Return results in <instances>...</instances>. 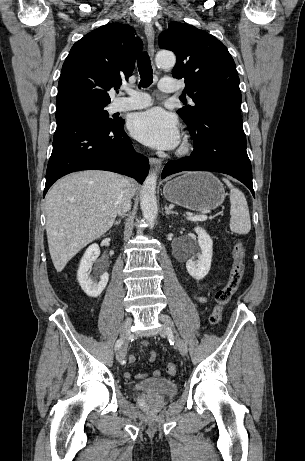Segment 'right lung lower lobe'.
I'll return each instance as SVG.
<instances>
[{
  "mask_svg": "<svg viewBox=\"0 0 305 461\" xmlns=\"http://www.w3.org/2000/svg\"><path fill=\"white\" fill-rule=\"evenodd\" d=\"M53 150L46 171L44 196L62 176L75 171L98 169L125 174L142 183L149 160L134 151L124 132V120L103 125L76 116L56 119Z\"/></svg>",
  "mask_w": 305,
  "mask_h": 461,
  "instance_id": "right-lung-lower-lobe-1",
  "label": "right lung lower lobe"
}]
</instances>
